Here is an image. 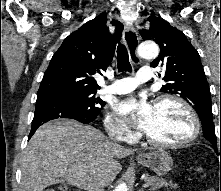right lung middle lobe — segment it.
I'll list each match as a JSON object with an SVG mask.
<instances>
[{"label": "right lung middle lobe", "mask_w": 221, "mask_h": 191, "mask_svg": "<svg viewBox=\"0 0 221 191\" xmlns=\"http://www.w3.org/2000/svg\"><path fill=\"white\" fill-rule=\"evenodd\" d=\"M94 93L70 92L58 95L57 97L66 101L74 107L77 113L85 117H97L105 102L100 98H95Z\"/></svg>", "instance_id": "obj_1"}]
</instances>
